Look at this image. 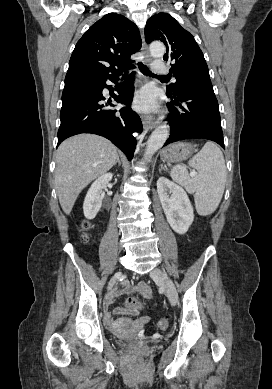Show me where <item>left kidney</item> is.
<instances>
[{
  "mask_svg": "<svg viewBox=\"0 0 272 389\" xmlns=\"http://www.w3.org/2000/svg\"><path fill=\"white\" fill-rule=\"evenodd\" d=\"M157 192L171 228L178 234H185L194 220L193 207L187 193L165 177L158 179Z\"/></svg>",
  "mask_w": 272,
  "mask_h": 389,
  "instance_id": "obj_1",
  "label": "left kidney"
}]
</instances>
